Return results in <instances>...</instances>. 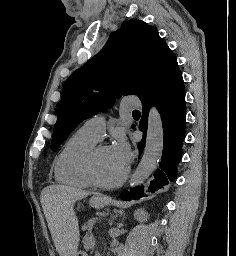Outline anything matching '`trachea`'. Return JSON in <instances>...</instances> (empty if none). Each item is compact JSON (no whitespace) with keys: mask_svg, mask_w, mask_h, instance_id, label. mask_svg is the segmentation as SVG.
<instances>
[{"mask_svg":"<svg viewBox=\"0 0 236 256\" xmlns=\"http://www.w3.org/2000/svg\"><path fill=\"white\" fill-rule=\"evenodd\" d=\"M134 112H139V110H134ZM134 112H133V113H134Z\"/></svg>","mask_w":236,"mask_h":256,"instance_id":"obj_1","label":"trachea"}]
</instances>
